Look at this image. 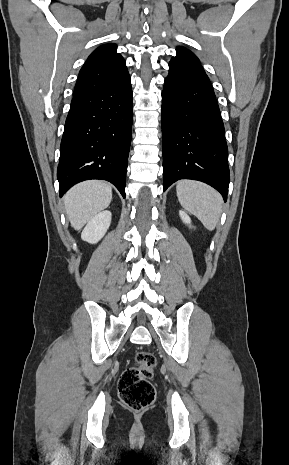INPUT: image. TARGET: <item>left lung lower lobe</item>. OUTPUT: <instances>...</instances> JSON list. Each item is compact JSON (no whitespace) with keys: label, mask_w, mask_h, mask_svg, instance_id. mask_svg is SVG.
<instances>
[{"label":"left lung lower lobe","mask_w":289,"mask_h":465,"mask_svg":"<svg viewBox=\"0 0 289 465\" xmlns=\"http://www.w3.org/2000/svg\"><path fill=\"white\" fill-rule=\"evenodd\" d=\"M165 191L179 179L205 182L227 200L230 181L224 125L205 72L171 68L162 92Z\"/></svg>","instance_id":"1"}]
</instances>
